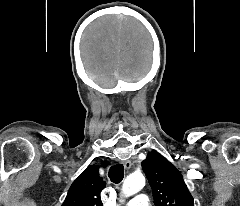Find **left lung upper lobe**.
<instances>
[{"label": "left lung upper lobe", "mask_w": 240, "mask_h": 206, "mask_svg": "<svg viewBox=\"0 0 240 206\" xmlns=\"http://www.w3.org/2000/svg\"><path fill=\"white\" fill-rule=\"evenodd\" d=\"M156 206H194L181 173L166 158L152 151L142 162Z\"/></svg>", "instance_id": "left-lung-upper-lobe-1"}]
</instances>
